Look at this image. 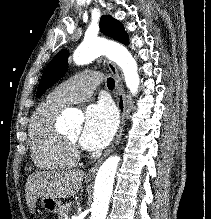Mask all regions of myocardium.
<instances>
[{
    "label": "myocardium",
    "mask_w": 211,
    "mask_h": 219,
    "mask_svg": "<svg viewBox=\"0 0 211 219\" xmlns=\"http://www.w3.org/2000/svg\"><path fill=\"white\" fill-rule=\"evenodd\" d=\"M63 138H64V141L67 145V148L69 149L71 154L76 158L79 157L81 154V148H80L78 142L73 140L72 138H70L67 135H63Z\"/></svg>",
    "instance_id": "f54148a6"
}]
</instances>
